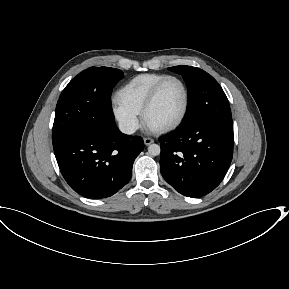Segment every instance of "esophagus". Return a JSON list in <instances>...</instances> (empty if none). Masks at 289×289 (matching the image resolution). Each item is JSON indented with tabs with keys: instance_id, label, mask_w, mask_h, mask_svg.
I'll return each mask as SVG.
<instances>
[{
	"instance_id": "obj_1",
	"label": "esophagus",
	"mask_w": 289,
	"mask_h": 289,
	"mask_svg": "<svg viewBox=\"0 0 289 289\" xmlns=\"http://www.w3.org/2000/svg\"><path fill=\"white\" fill-rule=\"evenodd\" d=\"M143 140H144V144L147 146L154 142V140L151 138H144Z\"/></svg>"
}]
</instances>
